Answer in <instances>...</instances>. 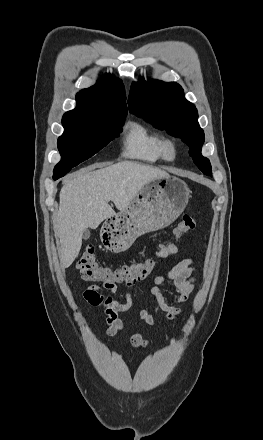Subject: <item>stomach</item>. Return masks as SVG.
Masks as SVG:
<instances>
[{"instance_id":"1","label":"stomach","mask_w":263,"mask_h":440,"mask_svg":"<svg viewBox=\"0 0 263 440\" xmlns=\"http://www.w3.org/2000/svg\"><path fill=\"white\" fill-rule=\"evenodd\" d=\"M189 197L183 180L170 175L153 179L125 209L105 220L101 236L106 248L126 251L139 236L169 226L184 211Z\"/></svg>"}]
</instances>
